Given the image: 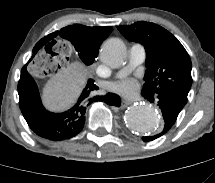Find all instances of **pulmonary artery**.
I'll list each match as a JSON object with an SVG mask.
<instances>
[{
  "instance_id": "e3ab8cb5",
  "label": "pulmonary artery",
  "mask_w": 215,
  "mask_h": 183,
  "mask_svg": "<svg viewBox=\"0 0 215 183\" xmlns=\"http://www.w3.org/2000/svg\"><path fill=\"white\" fill-rule=\"evenodd\" d=\"M146 58V50L143 45L139 43L133 44L129 49V61L127 66L120 71L124 75L134 69L136 66L144 62Z\"/></svg>"
}]
</instances>
